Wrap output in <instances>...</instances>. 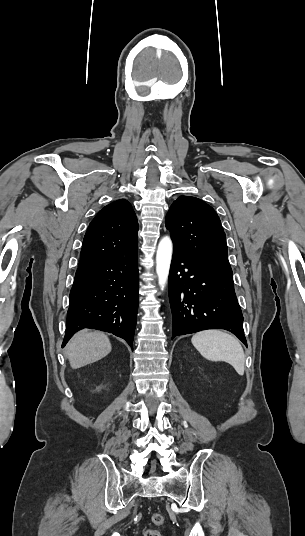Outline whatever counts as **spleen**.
I'll return each instance as SVG.
<instances>
[{
	"mask_svg": "<svg viewBox=\"0 0 305 536\" xmlns=\"http://www.w3.org/2000/svg\"><path fill=\"white\" fill-rule=\"evenodd\" d=\"M191 342L206 360L227 362L233 366L239 376H243L245 354L239 340L234 336L220 332V330H205V332L194 334Z\"/></svg>",
	"mask_w": 305,
	"mask_h": 536,
	"instance_id": "obj_1",
	"label": "spleen"
}]
</instances>
